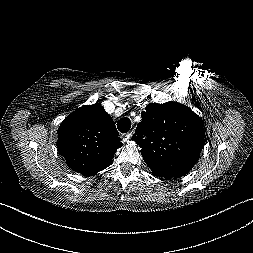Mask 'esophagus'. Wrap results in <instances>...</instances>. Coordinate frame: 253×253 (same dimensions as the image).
Instances as JSON below:
<instances>
[{
	"label": "esophagus",
	"mask_w": 253,
	"mask_h": 253,
	"mask_svg": "<svg viewBox=\"0 0 253 253\" xmlns=\"http://www.w3.org/2000/svg\"><path fill=\"white\" fill-rule=\"evenodd\" d=\"M132 137V132L122 135V142H127Z\"/></svg>",
	"instance_id": "obj_1"
}]
</instances>
